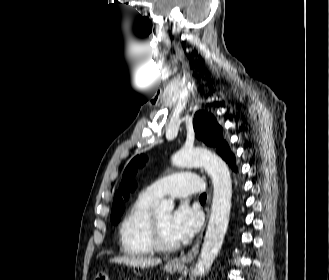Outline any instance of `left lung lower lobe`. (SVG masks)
Returning a JSON list of instances; mask_svg holds the SVG:
<instances>
[{
    "label": "left lung lower lobe",
    "mask_w": 329,
    "mask_h": 280,
    "mask_svg": "<svg viewBox=\"0 0 329 280\" xmlns=\"http://www.w3.org/2000/svg\"><path fill=\"white\" fill-rule=\"evenodd\" d=\"M229 164L233 167L234 170H236V168H235V162H234L233 159L231 160V162Z\"/></svg>",
    "instance_id": "0a47b994"
}]
</instances>
